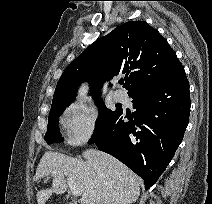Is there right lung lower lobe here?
I'll list each match as a JSON object with an SVG mask.
<instances>
[{"instance_id": "1", "label": "right lung lower lobe", "mask_w": 212, "mask_h": 204, "mask_svg": "<svg viewBox=\"0 0 212 204\" xmlns=\"http://www.w3.org/2000/svg\"><path fill=\"white\" fill-rule=\"evenodd\" d=\"M128 95L136 111L128 115L121 109L88 143L127 165L149 189L183 139L190 112L189 83L183 69L171 79Z\"/></svg>"}]
</instances>
